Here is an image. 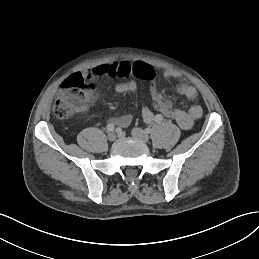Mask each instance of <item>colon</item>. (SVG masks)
Returning a JSON list of instances; mask_svg holds the SVG:
<instances>
[{
    "label": "colon",
    "instance_id": "5ec220e1",
    "mask_svg": "<svg viewBox=\"0 0 259 259\" xmlns=\"http://www.w3.org/2000/svg\"><path fill=\"white\" fill-rule=\"evenodd\" d=\"M92 97L90 83L81 74H73L62 84V89L54 104V113L59 118H68L84 110Z\"/></svg>",
    "mask_w": 259,
    "mask_h": 259
}]
</instances>
